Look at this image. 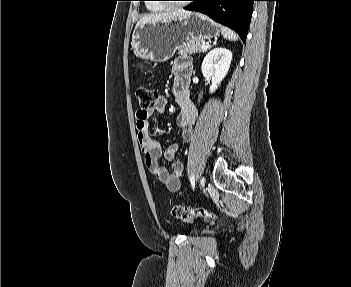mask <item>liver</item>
<instances>
[{
	"instance_id": "liver-1",
	"label": "liver",
	"mask_w": 351,
	"mask_h": 287,
	"mask_svg": "<svg viewBox=\"0 0 351 287\" xmlns=\"http://www.w3.org/2000/svg\"><path fill=\"white\" fill-rule=\"evenodd\" d=\"M190 11H186L183 9H177L174 11L170 12H164V13H156V14H149L143 16L138 22L137 25L145 24V23H155L159 21L166 22L171 19H177V18H182L190 15Z\"/></svg>"
}]
</instances>
